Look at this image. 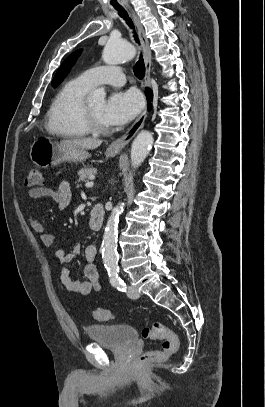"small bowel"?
I'll return each mask as SVG.
<instances>
[{
  "instance_id": "c3829d8e",
  "label": "small bowel",
  "mask_w": 265,
  "mask_h": 407,
  "mask_svg": "<svg viewBox=\"0 0 265 407\" xmlns=\"http://www.w3.org/2000/svg\"><path fill=\"white\" fill-rule=\"evenodd\" d=\"M30 199H39L48 197L57 204L59 209L63 210L68 207L71 201L70 186L66 181H62L56 190L49 187H35L28 190ZM30 227L36 232L43 245L52 246L55 242V236L46 231L44 225L34 217L28 219ZM79 253L78 243H74L72 250L68 251L66 247H61L55 252V258L59 263L60 280L68 292L87 295L91 291H100L101 275L95 264L96 250L90 245L85 251L87 264L84 268L85 279L77 280L71 277L68 264L74 260Z\"/></svg>"
}]
</instances>
